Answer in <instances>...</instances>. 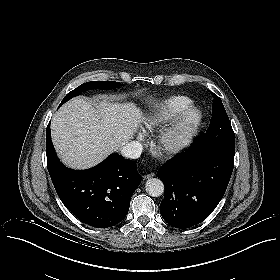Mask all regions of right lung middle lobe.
<instances>
[{
  "mask_svg": "<svg viewBox=\"0 0 280 280\" xmlns=\"http://www.w3.org/2000/svg\"><path fill=\"white\" fill-rule=\"evenodd\" d=\"M121 83L119 82H114V81H91V82H87L84 83L82 85H80L79 87H77L76 89H74L73 91L69 92L64 99L62 100V102L60 103L59 106H61L64 102L68 101L69 99H71L72 97L78 96L79 94H81L84 91L87 90H91V89H114L117 87H120Z\"/></svg>",
  "mask_w": 280,
  "mask_h": 280,
  "instance_id": "right-lung-middle-lobe-1",
  "label": "right lung middle lobe"
}]
</instances>
